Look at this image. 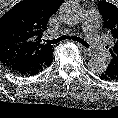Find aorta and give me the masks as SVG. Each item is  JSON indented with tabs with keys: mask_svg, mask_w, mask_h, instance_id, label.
Here are the masks:
<instances>
[{
	"mask_svg": "<svg viewBox=\"0 0 118 118\" xmlns=\"http://www.w3.org/2000/svg\"><path fill=\"white\" fill-rule=\"evenodd\" d=\"M82 11L75 2H67L60 9V18L68 24H76L81 20ZM88 69L93 74H102L107 70L106 62L100 57L91 58L88 62Z\"/></svg>",
	"mask_w": 118,
	"mask_h": 118,
	"instance_id": "1",
	"label": "aorta"
}]
</instances>
